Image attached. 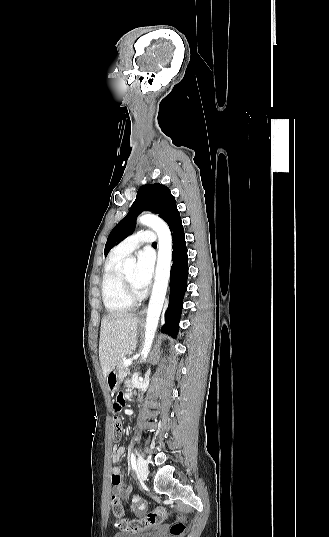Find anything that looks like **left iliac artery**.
Returning a JSON list of instances; mask_svg holds the SVG:
<instances>
[{
    "instance_id": "1",
    "label": "left iliac artery",
    "mask_w": 329,
    "mask_h": 537,
    "mask_svg": "<svg viewBox=\"0 0 329 537\" xmlns=\"http://www.w3.org/2000/svg\"><path fill=\"white\" fill-rule=\"evenodd\" d=\"M130 461H131L132 470H135L136 469V457L133 452L131 453Z\"/></svg>"
}]
</instances>
